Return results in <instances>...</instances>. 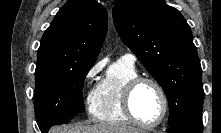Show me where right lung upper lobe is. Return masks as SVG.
Returning <instances> with one entry per match:
<instances>
[{"mask_svg":"<svg viewBox=\"0 0 221 133\" xmlns=\"http://www.w3.org/2000/svg\"><path fill=\"white\" fill-rule=\"evenodd\" d=\"M107 31V11L94 0H68L47 28L36 71L95 62Z\"/></svg>","mask_w":221,"mask_h":133,"instance_id":"obj_1","label":"right lung upper lobe"}]
</instances>
